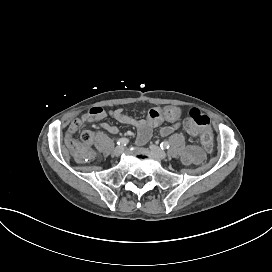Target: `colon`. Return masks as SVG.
Instances as JSON below:
<instances>
[{
    "mask_svg": "<svg viewBox=\"0 0 272 272\" xmlns=\"http://www.w3.org/2000/svg\"><path fill=\"white\" fill-rule=\"evenodd\" d=\"M187 132L194 137L201 136L203 144L210 149L213 145V136L211 133L210 119L204 115V111L200 107H191L187 111V117L184 120ZM77 127L71 129V133L75 134ZM81 140L72 144L71 150L75 156L81 157L87 153L88 147L86 143L91 141V133L84 131L81 133Z\"/></svg>",
    "mask_w": 272,
    "mask_h": 272,
    "instance_id": "5ec220e1",
    "label": "colon"
}]
</instances>
